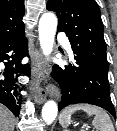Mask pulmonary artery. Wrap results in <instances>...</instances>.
Wrapping results in <instances>:
<instances>
[{
	"instance_id": "1",
	"label": "pulmonary artery",
	"mask_w": 117,
	"mask_h": 131,
	"mask_svg": "<svg viewBox=\"0 0 117 131\" xmlns=\"http://www.w3.org/2000/svg\"><path fill=\"white\" fill-rule=\"evenodd\" d=\"M58 40H59L62 44H64L69 51H71V46H70L69 40H68V38H67L65 35L60 34V35L58 36Z\"/></svg>"
}]
</instances>
